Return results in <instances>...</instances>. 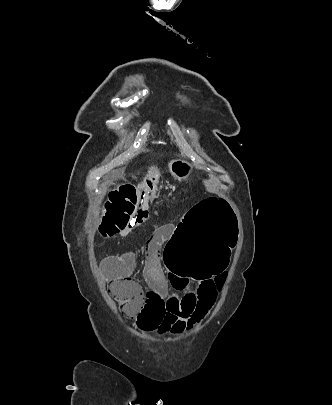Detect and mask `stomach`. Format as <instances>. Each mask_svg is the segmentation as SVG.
<instances>
[{
    "label": "stomach",
    "mask_w": 332,
    "mask_h": 405,
    "mask_svg": "<svg viewBox=\"0 0 332 405\" xmlns=\"http://www.w3.org/2000/svg\"><path fill=\"white\" fill-rule=\"evenodd\" d=\"M168 167L172 175L178 180L186 178L192 171V166L181 159L171 160Z\"/></svg>",
    "instance_id": "stomach-1"
}]
</instances>
